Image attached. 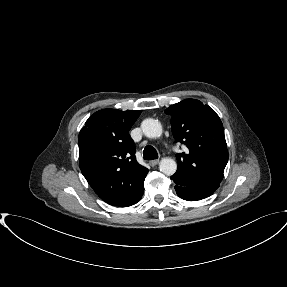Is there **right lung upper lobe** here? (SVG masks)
<instances>
[{
    "instance_id": "cb5924a9",
    "label": "right lung upper lobe",
    "mask_w": 287,
    "mask_h": 287,
    "mask_svg": "<svg viewBox=\"0 0 287 287\" xmlns=\"http://www.w3.org/2000/svg\"><path fill=\"white\" fill-rule=\"evenodd\" d=\"M140 113L99 110L79 133L81 172L95 193L112 206L132 205L144 189L148 169L136 161L128 134Z\"/></svg>"
}]
</instances>
